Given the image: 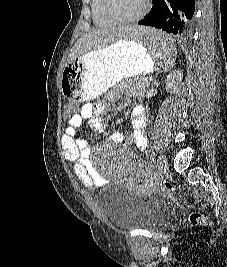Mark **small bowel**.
<instances>
[{"mask_svg": "<svg viewBox=\"0 0 227 267\" xmlns=\"http://www.w3.org/2000/svg\"><path fill=\"white\" fill-rule=\"evenodd\" d=\"M105 111L104 103H85L79 113L68 119L67 126L62 134L61 146L64 157L72 163L77 178L88 188L96 189L103 183V177L90 159V147L87 140L81 135L79 127L84 120H89L90 128L96 133L104 132L107 127L106 120L100 115ZM145 117L142 109H134L132 112V134L129 142L139 150L147 145V137L144 133ZM123 139L120 134L113 135V140Z\"/></svg>", "mask_w": 227, "mask_h": 267, "instance_id": "1", "label": "small bowel"}]
</instances>
